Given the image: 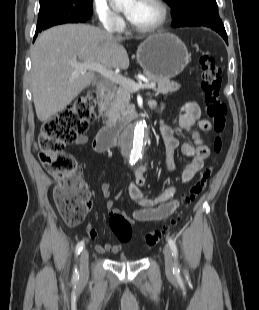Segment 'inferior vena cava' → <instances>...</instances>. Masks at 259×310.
I'll return each mask as SVG.
<instances>
[{"label": "inferior vena cava", "instance_id": "602c4592", "mask_svg": "<svg viewBox=\"0 0 259 310\" xmlns=\"http://www.w3.org/2000/svg\"><path fill=\"white\" fill-rule=\"evenodd\" d=\"M106 30L109 33H113L114 32V25L113 24H109L106 26Z\"/></svg>", "mask_w": 259, "mask_h": 310}]
</instances>
